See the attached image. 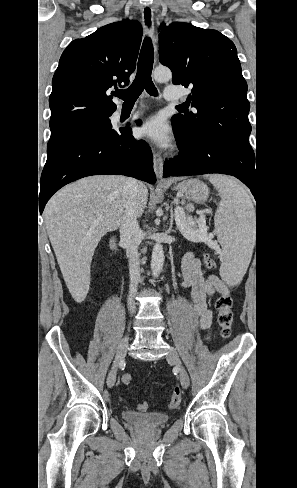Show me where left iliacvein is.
Masks as SVG:
<instances>
[{"label":"left iliac vein","mask_w":297,"mask_h":488,"mask_svg":"<svg viewBox=\"0 0 297 488\" xmlns=\"http://www.w3.org/2000/svg\"><path fill=\"white\" fill-rule=\"evenodd\" d=\"M167 361L176 365L180 373V382L183 388H188L190 385V378L186 369L182 366L179 354L175 348L170 347L167 354Z\"/></svg>","instance_id":"4c4485c4"}]
</instances>
